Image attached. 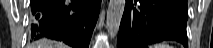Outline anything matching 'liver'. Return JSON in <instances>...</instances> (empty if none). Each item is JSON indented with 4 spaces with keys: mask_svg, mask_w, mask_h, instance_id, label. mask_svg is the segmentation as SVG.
<instances>
[{
    "mask_svg": "<svg viewBox=\"0 0 213 48\" xmlns=\"http://www.w3.org/2000/svg\"><path fill=\"white\" fill-rule=\"evenodd\" d=\"M31 48H68V47L62 43H55L54 41L48 39H41L34 42L31 45Z\"/></svg>",
    "mask_w": 213,
    "mask_h": 48,
    "instance_id": "liver-1",
    "label": "liver"
}]
</instances>
